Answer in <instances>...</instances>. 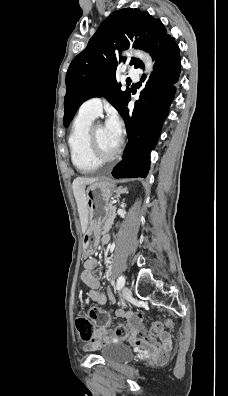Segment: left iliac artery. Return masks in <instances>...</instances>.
Listing matches in <instances>:
<instances>
[{"label":"left iliac artery","instance_id":"44dca946","mask_svg":"<svg viewBox=\"0 0 228 396\" xmlns=\"http://www.w3.org/2000/svg\"><path fill=\"white\" fill-rule=\"evenodd\" d=\"M125 284V277L124 276H119L117 279L116 287L117 290H121Z\"/></svg>","mask_w":228,"mask_h":396}]
</instances>
